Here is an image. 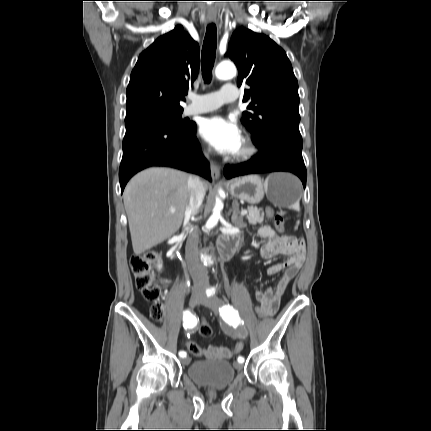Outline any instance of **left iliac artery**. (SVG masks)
<instances>
[{
  "label": "left iliac artery",
  "mask_w": 431,
  "mask_h": 431,
  "mask_svg": "<svg viewBox=\"0 0 431 431\" xmlns=\"http://www.w3.org/2000/svg\"><path fill=\"white\" fill-rule=\"evenodd\" d=\"M211 292L207 295H210ZM220 315L222 316V318L227 321L228 323L232 324V325H238L240 322V318H239V314L238 311H236L233 306L227 304V305H223L220 309ZM238 362L239 363H243L244 362V358L243 357H238Z\"/></svg>",
  "instance_id": "44dca946"
}]
</instances>
